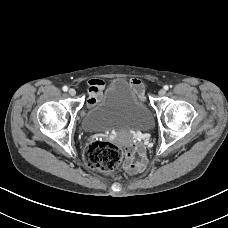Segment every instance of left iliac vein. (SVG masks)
I'll return each instance as SVG.
<instances>
[{
    "label": "left iliac vein",
    "mask_w": 228,
    "mask_h": 228,
    "mask_svg": "<svg viewBox=\"0 0 228 228\" xmlns=\"http://www.w3.org/2000/svg\"><path fill=\"white\" fill-rule=\"evenodd\" d=\"M159 96H164L166 94V91L164 89L159 90L158 92Z\"/></svg>",
    "instance_id": "obj_1"
}]
</instances>
